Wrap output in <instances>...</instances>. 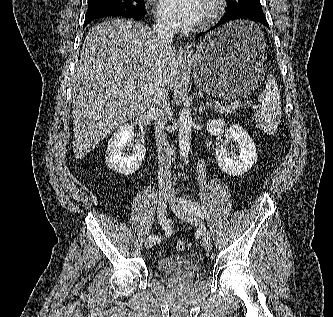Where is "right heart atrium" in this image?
Masks as SVG:
<instances>
[{
	"label": "right heart atrium",
	"instance_id": "d8ad5b80",
	"mask_svg": "<svg viewBox=\"0 0 333 317\" xmlns=\"http://www.w3.org/2000/svg\"><path fill=\"white\" fill-rule=\"evenodd\" d=\"M158 24L161 26V27H165V28H167V27H169V25L164 21V20H162L161 18H158Z\"/></svg>",
	"mask_w": 333,
	"mask_h": 317
}]
</instances>
